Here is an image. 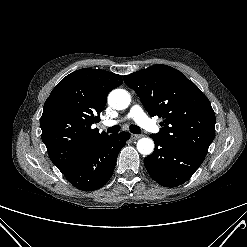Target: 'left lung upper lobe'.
I'll list each match as a JSON object with an SVG mask.
<instances>
[{"label":"left lung upper lobe","instance_id":"obj_1","mask_svg":"<svg viewBox=\"0 0 247 247\" xmlns=\"http://www.w3.org/2000/svg\"><path fill=\"white\" fill-rule=\"evenodd\" d=\"M123 79L136 91L150 116L163 118L157 137L206 156L215 137V114L207 97L192 81L162 64Z\"/></svg>","mask_w":247,"mask_h":247}]
</instances>
